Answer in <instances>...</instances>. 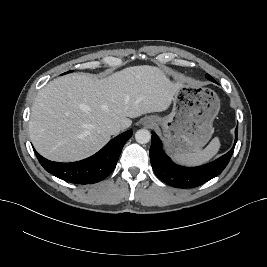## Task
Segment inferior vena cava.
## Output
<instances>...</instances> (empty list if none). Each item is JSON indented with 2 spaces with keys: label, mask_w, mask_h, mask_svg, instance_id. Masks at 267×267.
<instances>
[{
  "label": "inferior vena cava",
  "mask_w": 267,
  "mask_h": 267,
  "mask_svg": "<svg viewBox=\"0 0 267 267\" xmlns=\"http://www.w3.org/2000/svg\"><path fill=\"white\" fill-rule=\"evenodd\" d=\"M123 129V126L118 122H112L107 125V130L111 135L118 134Z\"/></svg>",
  "instance_id": "602c4592"
}]
</instances>
